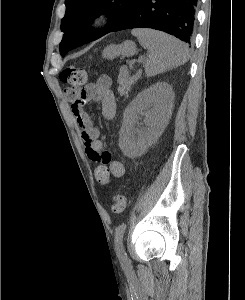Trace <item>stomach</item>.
<instances>
[{
    "label": "stomach",
    "instance_id": "0dacf381",
    "mask_svg": "<svg viewBox=\"0 0 245 300\" xmlns=\"http://www.w3.org/2000/svg\"><path fill=\"white\" fill-rule=\"evenodd\" d=\"M136 53V45L133 41L127 40L119 45L111 44L107 46L103 52L102 56L107 59H114L120 55L122 56H132Z\"/></svg>",
    "mask_w": 245,
    "mask_h": 300
}]
</instances>
